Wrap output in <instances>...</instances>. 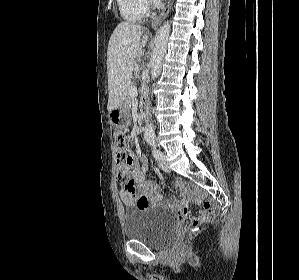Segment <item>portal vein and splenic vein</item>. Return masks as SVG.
<instances>
[{
  "label": "portal vein and splenic vein",
  "instance_id": "18ae733b",
  "mask_svg": "<svg viewBox=\"0 0 299 280\" xmlns=\"http://www.w3.org/2000/svg\"><path fill=\"white\" fill-rule=\"evenodd\" d=\"M129 94L132 96L137 95V87L136 86H132L129 90Z\"/></svg>",
  "mask_w": 299,
  "mask_h": 280
}]
</instances>
